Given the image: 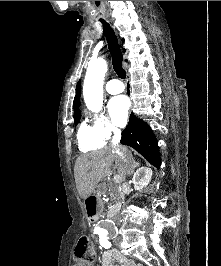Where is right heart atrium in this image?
Masks as SVG:
<instances>
[{
  "instance_id": "d8ad5b80",
  "label": "right heart atrium",
  "mask_w": 221,
  "mask_h": 266,
  "mask_svg": "<svg viewBox=\"0 0 221 266\" xmlns=\"http://www.w3.org/2000/svg\"><path fill=\"white\" fill-rule=\"evenodd\" d=\"M93 128L104 141L110 140L121 133L118 126L104 114L93 116Z\"/></svg>"
}]
</instances>
